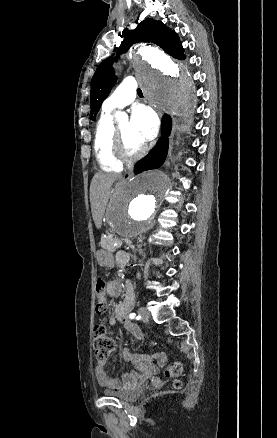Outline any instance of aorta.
Returning a JSON list of instances; mask_svg holds the SVG:
<instances>
[{"mask_svg": "<svg viewBox=\"0 0 277 438\" xmlns=\"http://www.w3.org/2000/svg\"><path fill=\"white\" fill-rule=\"evenodd\" d=\"M137 78L146 97L163 112L188 117L195 98V85L188 70L153 47H140L134 57ZM118 121L128 115L116 112ZM162 171L137 175L115 195L109 211L112 229L123 238H136L154 224L169 189Z\"/></svg>", "mask_w": 277, "mask_h": 438, "instance_id": "1", "label": "aorta"}]
</instances>
